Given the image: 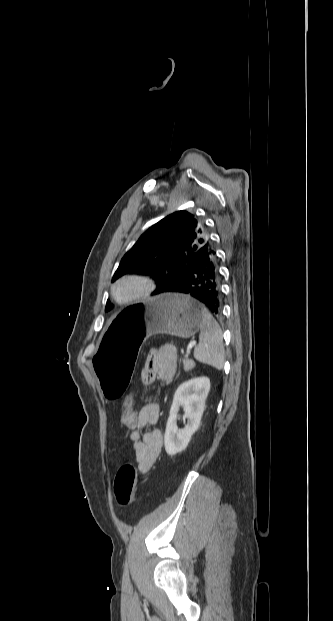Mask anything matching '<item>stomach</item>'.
Here are the masks:
<instances>
[{"mask_svg":"<svg viewBox=\"0 0 333 621\" xmlns=\"http://www.w3.org/2000/svg\"><path fill=\"white\" fill-rule=\"evenodd\" d=\"M205 312L204 306L189 296L167 293L133 304L114 316L103 330L95 356L104 399H125L144 338L159 333L190 338L200 329Z\"/></svg>","mask_w":333,"mask_h":621,"instance_id":"0dacf381","label":"stomach"}]
</instances>
